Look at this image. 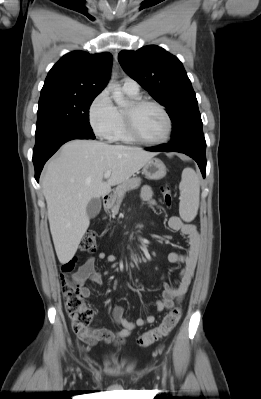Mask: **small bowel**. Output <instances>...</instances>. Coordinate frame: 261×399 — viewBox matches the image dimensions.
<instances>
[{
    "instance_id": "c3829d8e",
    "label": "small bowel",
    "mask_w": 261,
    "mask_h": 399,
    "mask_svg": "<svg viewBox=\"0 0 261 399\" xmlns=\"http://www.w3.org/2000/svg\"><path fill=\"white\" fill-rule=\"evenodd\" d=\"M140 199L143 203L155 204L153 190L149 186H144L140 190ZM168 226L172 231L180 232L187 238L188 251L185 254L179 252H171L168 255L170 263H182L183 268L180 274V280L176 287L165 283L161 298L156 302V310L162 312L172 308L175 303L181 300L187 293L191 284L195 268L197 265L200 253V237L195 225L186 223L177 215L170 216L168 219ZM99 261H106L108 263H116L117 256L99 252L96 256ZM73 281L79 287L83 297H89L90 289L86 283L91 281L96 284L102 283V276L95 271V259L90 258L86 260L72 275ZM113 317L115 321L122 327L121 330L115 331L108 327H100L96 329H89L87 339L80 338L88 345L94 346L99 342L108 344L120 345L123 344L126 338L137 327H143L155 321L153 315L138 318L135 322L129 321L124 312V308L117 305L113 309Z\"/></svg>"
}]
</instances>
